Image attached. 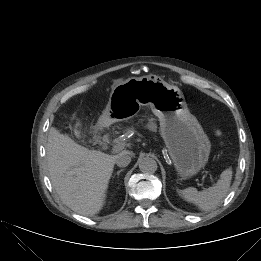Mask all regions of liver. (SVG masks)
<instances>
[{"mask_svg": "<svg viewBox=\"0 0 261 261\" xmlns=\"http://www.w3.org/2000/svg\"><path fill=\"white\" fill-rule=\"evenodd\" d=\"M115 155L89 150L51 128L47 143L49 177L63 203L84 216L102 209Z\"/></svg>", "mask_w": 261, "mask_h": 261, "instance_id": "6515ba94", "label": "liver"}]
</instances>
